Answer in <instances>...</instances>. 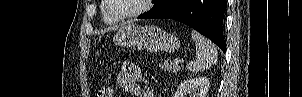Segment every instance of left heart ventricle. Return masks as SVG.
Wrapping results in <instances>:
<instances>
[{
  "label": "left heart ventricle",
  "mask_w": 302,
  "mask_h": 97,
  "mask_svg": "<svg viewBox=\"0 0 302 97\" xmlns=\"http://www.w3.org/2000/svg\"><path fill=\"white\" fill-rule=\"evenodd\" d=\"M142 5V0H111V7L118 15H127L136 11Z\"/></svg>",
  "instance_id": "1"
}]
</instances>
